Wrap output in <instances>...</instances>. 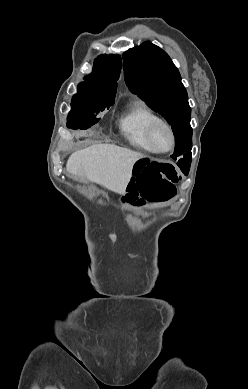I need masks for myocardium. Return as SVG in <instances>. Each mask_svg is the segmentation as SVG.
Listing matches in <instances>:
<instances>
[{"instance_id": "f54148a6", "label": "myocardium", "mask_w": 248, "mask_h": 389, "mask_svg": "<svg viewBox=\"0 0 248 389\" xmlns=\"http://www.w3.org/2000/svg\"><path fill=\"white\" fill-rule=\"evenodd\" d=\"M157 127H163L166 130L167 137H168V146L165 149H157L153 145L152 138H153L154 131L156 130ZM146 141L149 145L150 150L153 153L162 154V153L169 152L174 147V143H175L174 133L171 125L161 118H157L153 120L146 129Z\"/></svg>"}]
</instances>
